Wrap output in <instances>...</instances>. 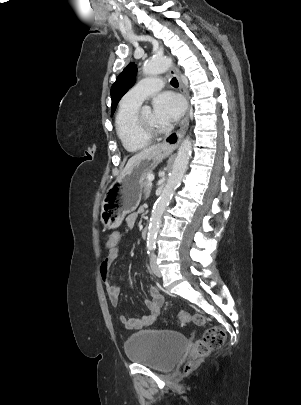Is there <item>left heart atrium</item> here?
<instances>
[{
    "label": "left heart atrium",
    "mask_w": 301,
    "mask_h": 405,
    "mask_svg": "<svg viewBox=\"0 0 301 405\" xmlns=\"http://www.w3.org/2000/svg\"><path fill=\"white\" fill-rule=\"evenodd\" d=\"M184 108L181 97L172 92H163L153 101V113L163 126L176 122L183 114Z\"/></svg>",
    "instance_id": "39dd6f15"
}]
</instances>
